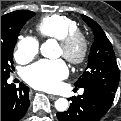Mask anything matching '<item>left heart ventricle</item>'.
Listing matches in <instances>:
<instances>
[{"label": "left heart ventricle", "mask_w": 121, "mask_h": 121, "mask_svg": "<svg viewBox=\"0 0 121 121\" xmlns=\"http://www.w3.org/2000/svg\"><path fill=\"white\" fill-rule=\"evenodd\" d=\"M58 54H59V55H63V49H62V47H61V46H59Z\"/></svg>", "instance_id": "b2bd125f"}]
</instances>
